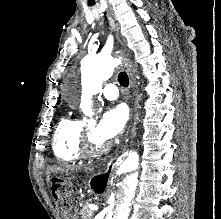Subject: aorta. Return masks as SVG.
Returning a JSON list of instances; mask_svg holds the SVG:
<instances>
[{"mask_svg":"<svg viewBox=\"0 0 221 219\" xmlns=\"http://www.w3.org/2000/svg\"><path fill=\"white\" fill-rule=\"evenodd\" d=\"M116 63L111 55L103 54L82 61V70L88 73L90 80V93L80 104L85 115L93 114L92 96L101 91L102 81L112 76ZM141 161L137 153H132L117 167L109 199L111 219H128L140 180Z\"/></svg>","mask_w":221,"mask_h":219,"instance_id":"762f6f07","label":"aorta"}]
</instances>
